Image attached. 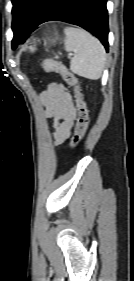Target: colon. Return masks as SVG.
Segmentation results:
<instances>
[{"label": "colon", "instance_id": "colon-1", "mask_svg": "<svg viewBox=\"0 0 134 281\" xmlns=\"http://www.w3.org/2000/svg\"><path fill=\"white\" fill-rule=\"evenodd\" d=\"M42 68L46 72L58 73L65 82L73 88L78 112L75 133L72 139V145L75 146L84 137L89 125L88 109L81 94L79 82L77 78L59 61L46 59L42 63Z\"/></svg>", "mask_w": 134, "mask_h": 281}]
</instances>
